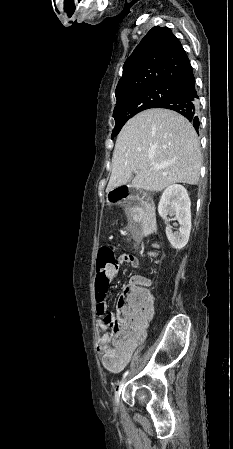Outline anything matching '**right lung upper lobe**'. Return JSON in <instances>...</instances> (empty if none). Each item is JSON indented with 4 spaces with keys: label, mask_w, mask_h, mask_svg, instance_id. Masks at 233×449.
I'll use <instances>...</instances> for the list:
<instances>
[{
    "label": "right lung upper lobe",
    "mask_w": 233,
    "mask_h": 449,
    "mask_svg": "<svg viewBox=\"0 0 233 449\" xmlns=\"http://www.w3.org/2000/svg\"><path fill=\"white\" fill-rule=\"evenodd\" d=\"M189 58L179 39L168 27H153L123 66L115 96L154 85L175 86L192 79Z\"/></svg>",
    "instance_id": "right-lung-upper-lobe-1"
}]
</instances>
